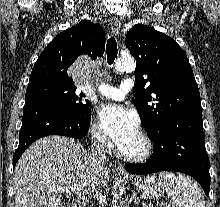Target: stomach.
<instances>
[{
  "mask_svg": "<svg viewBox=\"0 0 220 207\" xmlns=\"http://www.w3.org/2000/svg\"><path fill=\"white\" fill-rule=\"evenodd\" d=\"M132 184L144 196L149 198H159L164 193V183L155 176H147L144 178H134Z\"/></svg>",
  "mask_w": 220,
  "mask_h": 207,
  "instance_id": "0dacf381",
  "label": "stomach"
}]
</instances>
